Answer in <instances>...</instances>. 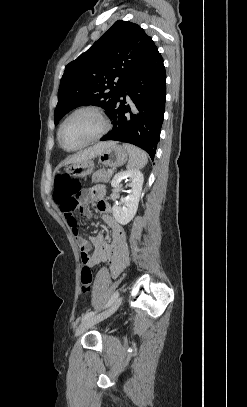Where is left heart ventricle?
I'll list each match as a JSON object with an SVG mask.
<instances>
[{
	"mask_svg": "<svg viewBox=\"0 0 247 407\" xmlns=\"http://www.w3.org/2000/svg\"><path fill=\"white\" fill-rule=\"evenodd\" d=\"M102 128L99 119L87 112L71 117L61 131V143L65 148H76L97 135Z\"/></svg>",
	"mask_w": 247,
	"mask_h": 407,
	"instance_id": "left-heart-ventricle-1",
	"label": "left heart ventricle"
}]
</instances>
